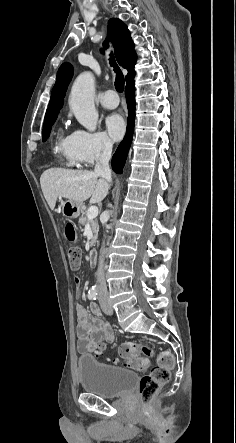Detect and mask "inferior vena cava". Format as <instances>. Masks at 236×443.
<instances>
[{
  "label": "inferior vena cava",
  "instance_id": "inferior-vena-cava-1",
  "mask_svg": "<svg viewBox=\"0 0 236 443\" xmlns=\"http://www.w3.org/2000/svg\"><path fill=\"white\" fill-rule=\"evenodd\" d=\"M113 143L112 141L105 137L102 139V144L100 150L96 154V165L94 173L98 176L104 178L108 182H111V169L109 167V160L111 158ZM106 253L105 242H103L101 255L99 256V264L97 269V283H98V300L100 305L110 303L108 296L105 275H104V256Z\"/></svg>",
  "mask_w": 236,
  "mask_h": 443
}]
</instances>
